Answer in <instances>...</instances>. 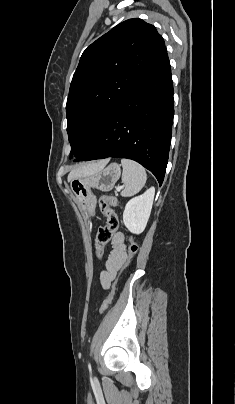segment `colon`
<instances>
[{"label":"colon","mask_w":235,"mask_h":404,"mask_svg":"<svg viewBox=\"0 0 235 404\" xmlns=\"http://www.w3.org/2000/svg\"><path fill=\"white\" fill-rule=\"evenodd\" d=\"M116 204L117 199L113 196L103 195L99 198V208L106 218V224L98 229L95 240L96 256L98 259L102 258L105 246L110 242L119 226L118 217L113 209V206H115ZM137 251H138V245L134 240V238L131 236L129 238L127 262H129L134 257ZM114 293L115 288L113 287L111 292L102 302L99 309L100 313L106 311L108 307L111 305L114 298Z\"/></svg>","instance_id":"obj_1"}]
</instances>
